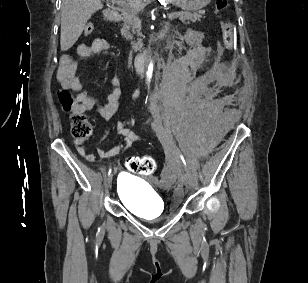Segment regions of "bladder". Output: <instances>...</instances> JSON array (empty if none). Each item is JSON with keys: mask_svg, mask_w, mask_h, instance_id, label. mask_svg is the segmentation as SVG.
Here are the masks:
<instances>
[{"mask_svg": "<svg viewBox=\"0 0 308 283\" xmlns=\"http://www.w3.org/2000/svg\"><path fill=\"white\" fill-rule=\"evenodd\" d=\"M117 196L133 214L147 219L164 214V204L158 193L144 180L121 173L117 182Z\"/></svg>", "mask_w": 308, "mask_h": 283, "instance_id": "bladder-1", "label": "bladder"}]
</instances>
